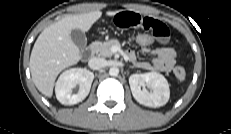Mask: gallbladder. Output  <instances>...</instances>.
I'll return each instance as SVG.
<instances>
[{"mask_svg":"<svg viewBox=\"0 0 231 134\" xmlns=\"http://www.w3.org/2000/svg\"><path fill=\"white\" fill-rule=\"evenodd\" d=\"M71 39L78 48L83 49L86 47L87 38L81 30L73 29L71 31Z\"/></svg>","mask_w":231,"mask_h":134,"instance_id":"bac80fb5","label":"gallbladder"}]
</instances>
